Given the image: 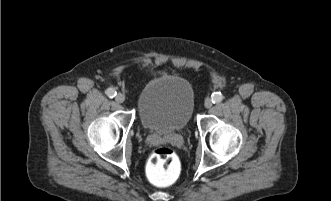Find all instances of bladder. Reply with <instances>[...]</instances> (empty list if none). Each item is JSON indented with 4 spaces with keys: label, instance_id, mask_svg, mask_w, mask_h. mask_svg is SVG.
I'll list each match as a JSON object with an SVG mask.
<instances>
[{
    "label": "bladder",
    "instance_id": "bladder-1",
    "mask_svg": "<svg viewBox=\"0 0 331 201\" xmlns=\"http://www.w3.org/2000/svg\"><path fill=\"white\" fill-rule=\"evenodd\" d=\"M136 106L140 124L147 131L162 135L179 132L194 113L193 88L179 76L159 75L142 87Z\"/></svg>",
    "mask_w": 331,
    "mask_h": 201
}]
</instances>
